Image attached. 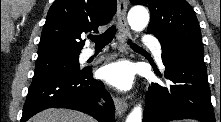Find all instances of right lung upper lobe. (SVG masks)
I'll return each instance as SVG.
<instances>
[{
  "mask_svg": "<svg viewBox=\"0 0 221 122\" xmlns=\"http://www.w3.org/2000/svg\"><path fill=\"white\" fill-rule=\"evenodd\" d=\"M115 12L116 0H55L42 30L38 59L79 55L85 44L81 34L98 32Z\"/></svg>",
  "mask_w": 221,
  "mask_h": 122,
  "instance_id": "right-lung-upper-lobe-1",
  "label": "right lung upper lobe"
}]
</instances>
